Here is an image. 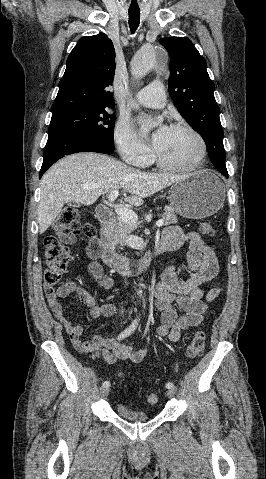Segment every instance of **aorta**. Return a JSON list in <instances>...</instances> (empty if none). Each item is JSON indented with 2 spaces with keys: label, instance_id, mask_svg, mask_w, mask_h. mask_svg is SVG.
<instances>
[{
  "label": "aorta",
  "instance_id": "obj_1",
  "mask_svg": "<svg viewBox=\"0 0 266 479\" xmlns=\"http://www.w3.org/2000/svg\"><path fill=\"white\" fill-rule=\"evenodd\" d=\"M160 52L156 47L143 48L137 52L131 61V73L135 78H141L151 71L159 60ZM140 288L142 284L139 285ZM142 289L137 294L142 296Z\"/></svg>",
  "mask_w": 266,
  "mask_h": 479
}]
</instances>
